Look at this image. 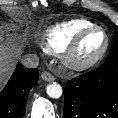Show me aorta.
I'll return each instance as SVG.
<instances>
[{"mask_svg": "<svg viewBox=\"0 0 118 118\" xmlns=\"http://www.w3.org/2000/svg\"><path fill=\"white\" fill-rule=\"evenodd\" d=\"M46 92L49 97L57 99L61 97L63 91L58 83H52L46 87Z\"/></svg>", "mask_w": 118, "mask_h": 118, "instance_id": "aorta-1", "label": "aorta"}]
</instances>
